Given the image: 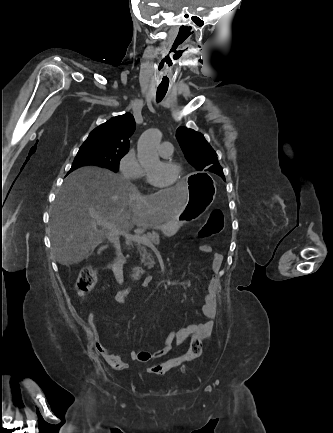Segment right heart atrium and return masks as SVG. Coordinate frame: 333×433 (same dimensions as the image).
Listing matches in <instances>:
<instances>
[{
	"label": "right heart atrium",
	"mask_w": 333,
	"mask_h": 433,
	"mask_svg": "<svg viewBox=\"0 0 333 433\" xmlns=\"http://www.w3.org/2000/svg\"><path fill=\"white\" fill-rule=\"evenodd\" d=\"M121 174L132 180H139L145 175V170L139 163L134 151H127L119 160Z\"/></svg>",
	"instance_id": "1"
}]
</instances>
